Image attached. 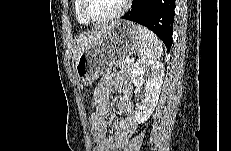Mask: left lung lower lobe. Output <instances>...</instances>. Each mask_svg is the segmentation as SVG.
I'll return each instance as SVG.
<instances>
[{
	"mask_svg": "<svg viewBox=\"0 0 231 151\" xmlns=\"http://www.w3.org/2000/svg\"><path fill=\"white\" fill-rule=\"evenodd\" d=\"M175 0H133L122 19L139 23L153 31L165 44L172 45Z\"/></svg>",
	"mask_w": 231,
	"mask_h": 151,
	"instance_id": "obj_1",
	"label": "left lung lower lobe"
}]
</instances>
